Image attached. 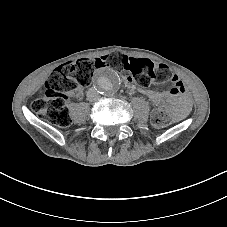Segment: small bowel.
<instances>
[{"mask_svg":"<svg viewBox=\"0 0 227 227\" xmlns=\"http://www.w3.org/2000/svg\"><path fill=\"white\" fill-rule=\"evenodd\" d=\"M141 92L145 94L156 106H163L165 104L164 96L155 91L150 89H141ZM189 110V103L188 100L183 97L180 100V106L175 109L176 113L179 115L186 114Z\"/></svg>","mask_w":227,"mask_h":227,"instance_id":"c3829d8e","label":"small bowel"}]
</instances>
